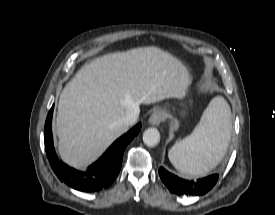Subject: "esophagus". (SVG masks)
I'll return each instance as SVG.
<instances>
[{"instance_id": "obj_1", "label": "esophagus", "mask_w": 275, "mask_h": 215, "mask_svg": "<svg viewBox=\"0 0 275 215\" xmlns=\"http://www.w3.org/2000/svg\"><path fill=\"white\" fill-rule=\"evenodd\" d=\"M167 118V113L162 108H157L151 115L149 123L153 126H158Z\"/></svg>"}]
</instances>
